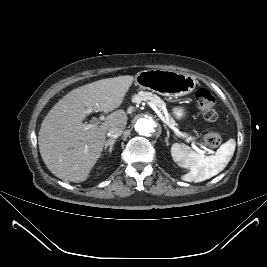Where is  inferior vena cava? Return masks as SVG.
Listing matches in <instances>:
<instances>
[{"instance_id": "602c4592", "label": "inferior vena cava", "mask_w": 267, "mask_h": 267, "mask_svg": "<svg viewBox=\"0 0 267 267\" xmlns=\"http://www.w3.org/2000/svg\"><path fill=\"white\" fill-rule=\"evenodd\" d=\"M123 132V128L119 127V126H112L108 132H107V136L110 138H118L119 136H121Z\"/></svg>"}]
</instances>
